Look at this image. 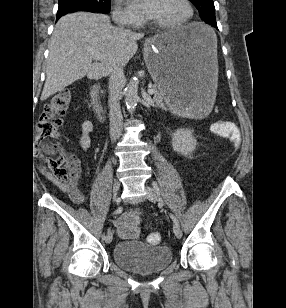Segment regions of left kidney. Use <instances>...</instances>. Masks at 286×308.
Masks as SVG:
<instances>
[{
	"instance_id": "obj_1",
	"label": "left kidney",
	"mask_w": 286,
	"mask_h": 308,
	"mask_svg": "<svg viewBox=\"0 0 286 308\" xmlns=\"http://www.w3.org/2000/svg\"><path fill=\"white\" fill-rule=\"evenodd\" d=\"M171 144L175 152L188 156L195 150L197 141L193 136V130L181 128L173 133Z\"/></svg>"
}]
</instances>
